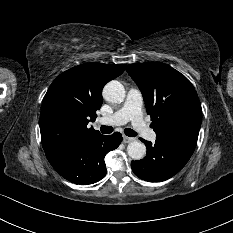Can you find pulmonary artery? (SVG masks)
I'll return each instance as SVG.
<instances>
[{"label":"pulmonary artery","mask_w":233,"mask_h":233,"mask_svg":"<svg viewBox=\"0 0 233 233\" xmlns=\"http://www.w3.org/2000/svg\"><path fill=\"white\" fill-rule=\"evenodd\" d=\"M143 97L136 88L127 91L124 103L111 115L98 118L97 122L104 125H121L128 121L149 141L156 140V133L150 129L143 119Z\"/></svg>","instance_id":"1"}]
</instances>
